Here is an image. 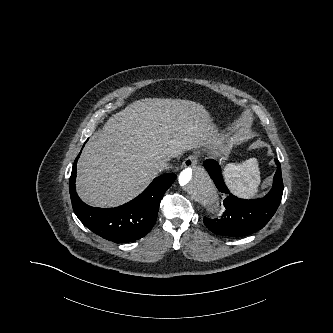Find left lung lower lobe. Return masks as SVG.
<instances>
[{
    "label": "left lung lower lobe",
    "mask_w": 333,
    "mask_h": 333,
    "mask_svg": "<svg viewBox=\"0 0 333 333\" xmlns=\"http://www.w3.org/2000/svg\"><path fill=\"white\" fill-rule=\"evenodd\" d=\"M270 192L261 199L244 200L230 194L223 204L224 214L218 219L204 218V224L216 234L225 236H246L262 229L276 212L283 194V181L279 161ZM204 167L219 191L229 193L224 184L219 164L212 159Z\"/></svg>",
    "instance_id": "left-lung-lower-lobe-1"
}]
</instances>
